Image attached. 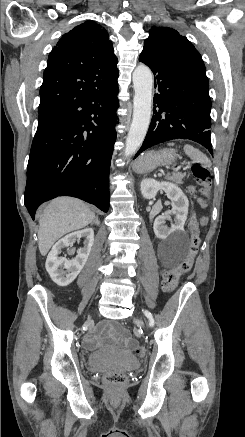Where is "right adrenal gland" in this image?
Masks as SVG:
<instances>
[{
  "label": "right adrenal gland",
  "instance_id": "1",
  "mask_svg": "<svg viewBox=\"0 0 245 437\" xmlns=\"http://www.w3.org/2000/svg\"><path fill=\"white\" fill-rule=\"evenodd\" d=\"M92 224H97V225H100V222H99V220H98V217H96L95 218V220L93 221V223Z\"/></svg>",
  "mask_w": 245,
  "mask_h": 437
}]
</instances>
